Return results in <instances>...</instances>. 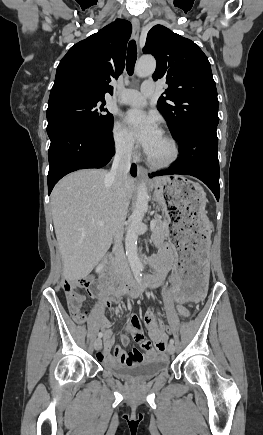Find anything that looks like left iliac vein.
<instances>
[{
  "mask_svg": "<svg viewBox=\"0 0 263 435\" xmlns=\"http://www.w3.org/2000/svg\"><path fill=\"white\" fill-rule=\"evenodd\" d=\"M167 351L169 354H173L175 352V346L173 344H169L167 347Z\"/></svg>",
  "mask_w": 263,
  "mask_h": 435,
  "instance_id": "1",
  "label": "left iliac vein"
}]
</instances>
